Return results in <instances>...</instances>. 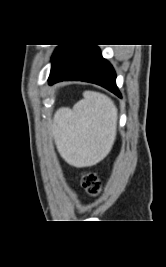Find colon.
Listing matches in <instances>:
<instances>
[{
    "label": "colon",
    "instance_id": "colon-1",
    "mask_svg": "<svg viewBox=\"0 0 166 267\" xmlns=\"http://www.w3.org/2000/svg\"><path fill=\"white\" fill-rule=\"evenodd\" d=\"M80 182L83 187L90 195L96 196L101 191V183L96 173L85 172L80 177Z\"/></svg>",
    "mask_w": 166,
    "mask_h": 267
}]
</instances>
